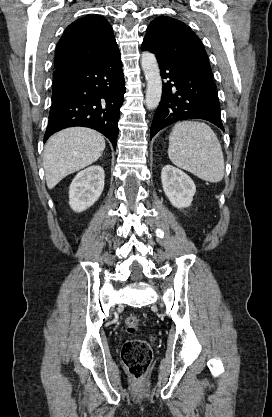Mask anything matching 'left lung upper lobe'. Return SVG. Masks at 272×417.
Returning <instances> with one entry per match:
<instances>
[{
  "label": "left lung upper lobe",
  "instance_id": "obj_1",
  "mask_svg": "<svg viewBox=\"0 0 272 417\" xmlns=\"http://www.w3.org/2000/svg\"><path fill=\"white\" fill-rule=\"evenodd\" d=\"M142 49L154 53L157 59L185 63L212 75L201 40L186 24L174 18L154 19L147 28Z\"/></svg>",
  "mask_w": 272,
  "mask_h": 417
}]
</instances>
